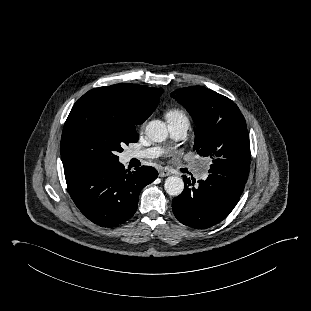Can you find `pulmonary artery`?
Segmentation results:
<instances>
[{
    "label": "pulmonary artery",
    "instance_id": "e3ab8cb5",
    "mask_svg": "<svg viewBox=\"0 0 311 311\" xmlns=\"http://www.w3.org/2000/svg\"><path fill=\"white\" fill-rule=\"evenodd\" d=\"M189 123L187 122H177L168 124L171 136L176 139H182L188 130ZM161 154L159 148H149L141 151H133L129 153V158H140V159H149L156 158ZM208 173L206 171H201L197 173V179L206 180Z\"/></svg>",
    "mask_w": 311,
    "mask_h": 311
}]
</instances>
